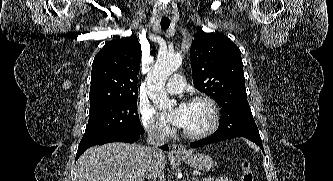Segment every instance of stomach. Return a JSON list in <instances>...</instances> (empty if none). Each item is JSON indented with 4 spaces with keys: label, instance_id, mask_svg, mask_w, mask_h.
<instances>
[{
    "label": "stomach",
    "instance_id": "obj_1",
    "mask_svg": "<svg viewBox=\"0 0 333 181\" xmlns=\"http://www.w3.org/2000/svg\"><path fill=\"white\" fill-rule=\"evenodd\" d=\"M178 157L185 161L189 166L199 171H209L214 166L213 159L205 154H186L178 155Z\"/></svg>",
    "mask_w": 333,
    "mask_h": 181
}]
</instances>
